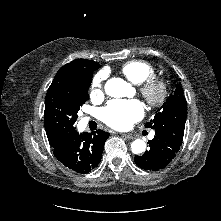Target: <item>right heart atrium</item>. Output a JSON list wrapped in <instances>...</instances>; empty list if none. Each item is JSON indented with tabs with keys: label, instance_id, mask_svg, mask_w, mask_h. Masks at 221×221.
<instances>
[{
	"label": "right heart atrium",
	"instance_id": "obj_1",
	"mask_svg": "<svg viewBox=\"0 0 221 221\" xmlns=\"http://www.w3.org/2000/svg\"><path fill=\"white\" fill-rule=\"evenodd\" d=\"M105 79L104 74H98L94 79L93 84V94L94 95H101L103 93V81Z\"/></svg>",
	"mask_w": 221,
	"mask_h": 221
}]
</instances>
